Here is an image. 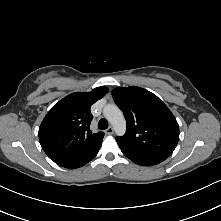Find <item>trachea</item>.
I'll return each mask as SVG.
<instances>
[{"mask_svg": "<svg viewBox=\"0 0 221 221\" xmlns=\"http://www.w3.org/2000/svg\"><path fill=\"white\" fill-rule=\"evenodd\" d=\"M98 128L101 130L107 129L108 128L107 120L104 118L100 119V121L98 122Z\"/></svg>", "mask_w": 221, "mask_h": 221, "instance_id": "1", "label": "trachea"}]
</instances>
